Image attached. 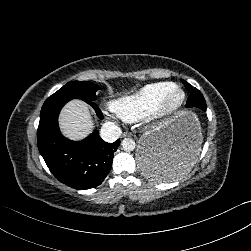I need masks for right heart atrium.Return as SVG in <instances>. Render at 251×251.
Returning <instances> with one entry per match:
<instances>
[{
	"label": "right heart atrium",
	"mask_w": 251,
	"mask_h": 251,
	"mask_svg": "<svg viewBox=\"0 0 251 251\" xmlns=\"http://www.w3.org/2000/svg\"><path fill=\"white\" fill-rule=\"evenodd\" d=\"M108 109H109V111L113 114V115H112V118H113L114 120L124 119V118L118 113L117 107H116L114 104L109 103V104H108Z\"/></svg>",
	"instance_id": "right-heart-atrium-1"
}]
</instances>
